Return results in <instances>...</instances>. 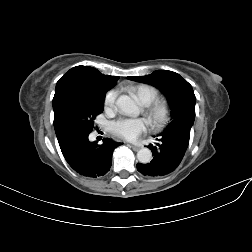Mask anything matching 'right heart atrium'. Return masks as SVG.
<instances>
[{"mask_svg":"<svg viewBox=\"0 0 252 252\" xmlns=\"http://www.w3.org/2000/svg\"><path fill=\"white\" fill-rule=\"evenodd\" d=\"M117 98V92L110 90L106 93L104 98V109L106 112H112Z\"/></svg>","mask_w":252,"mask_h":252,"instance_id":"1","label":"right heart atrium"}]
</instances>
